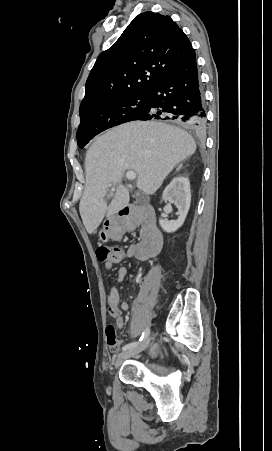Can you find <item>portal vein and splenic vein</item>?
<instances>
[{
	"label": "portal vein and splenic vein",
	"mask_w": 272,
	"mask_h": 451,
	"mask_svg": "<svg viewBox=\"0 0 272 451\" xmlns=\"http://www.w3.org/2000/svg\"><path fill=\"white\" fill-rule=\"evenodd\" d=\"M126 178L127 180H135L136 178L135 172H132V170H130V172H127ZM111 192H115V188H112Z\"/></svg>",
	"instance_id": "portal-vein-and-splenic-vein-1"
}]
</instances>
